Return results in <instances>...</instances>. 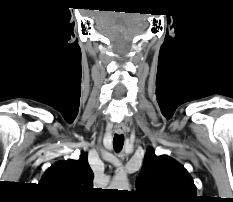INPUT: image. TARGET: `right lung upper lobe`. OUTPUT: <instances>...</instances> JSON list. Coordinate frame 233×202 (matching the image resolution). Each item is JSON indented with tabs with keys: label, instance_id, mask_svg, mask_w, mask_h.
Segmentation results:
<instances>
[{
	"label": "right lung upper lobe",
	"instance_id": "1",
	"mask_svg": "<svg viewBox=\"0 0 233 202\" xmlns=\"http://www.w3.org/2000/svg\"><path fill=\"white\" fill-rule=\"evenodd\" d=\"M93 172L87 156L82 153L79 160L60 161L44 173L40 184L61 195H83L93 186Z\"/></svg>",
	"mask_w": 233,
	"mask_h": 202
}]
</instances>
